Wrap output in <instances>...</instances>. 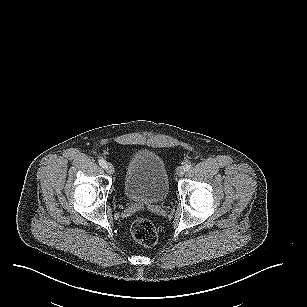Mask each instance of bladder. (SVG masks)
<instances>
[{
	"instance_id": "1",
	"label": "bladder",
	"mask_w": 307,
	"mask_h": 307,
	"mask_svg": "<svg viewBox=\"0 0 307 307\" xmlns=\"http://www.w3.org/2000/svg\"><path fill=\"white\" fill-rule=\"evenodd\" d=\"M122 191L131 203L160 204L169 194L168 174L161 157L151 151L135 153L128 161Z\"/></svg>"
}]
</instances>
